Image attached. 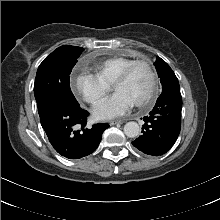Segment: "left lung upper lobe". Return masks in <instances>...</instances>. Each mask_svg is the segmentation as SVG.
<instances>
[{
    "label": "left lung upper lobe",
    "instance_id": "1",
    "mask_svg": "<svg viewBox=\"0 0 220 220\" xmlns=\"http://www.w3.org/2000/svg\"><path fill=\"white\" fill-rule=\"evenodd\" d=\"M154 65L158 72V76L160 77V81L162 84V92L173 89H180L176 75L164 60L158 57Z\"/></svg>",
    "mask_w": 220,
    "mask_h": 220
}]
</instances>
